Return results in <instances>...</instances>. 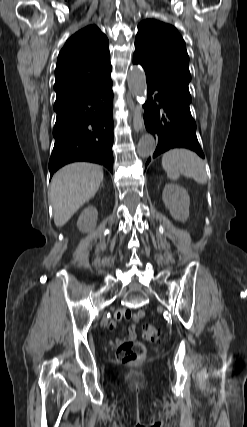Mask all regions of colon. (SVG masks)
I'll return each instance as SVG.
<instances>
[{"mask_svg": "<svg viewBox=\"0 0 247 427\" xmlns=\"http://www.w3.org/2000/svg\"><path fill=\"white\" fill-rule=\"evenodd\" d=\"M142 335L148 341H157L160 338V330L151 324L142 327ZM146 357V348L142 343L127 341L119 345L116 358L122 364H137Z\"/></svg>", "mask_w": 247, "mask_h": 427, "instance_id": "colon-1", "label": "colon"}]
</instances>
